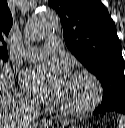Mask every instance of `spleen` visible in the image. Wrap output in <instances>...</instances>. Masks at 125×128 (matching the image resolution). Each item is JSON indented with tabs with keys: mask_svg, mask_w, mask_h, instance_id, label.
Returning a JSON list of instances; mask_svg holds the SVG:
<instances>
[{
	"mask_svg": "<svg viewBox=\"0 0 125 128\" xmlns=\"http://www.w3.org/2000/svg\"><path fill=\"white\" fill-rule=\"evenodd\" d=\"M117 128H125V116L121 115L118 117Z\"/></svg>",
	"mask_w": 125,
	"mask_h": 128,
	"instance_id": "3e777b00",
	"label": "spleen"
}]
</instances>
